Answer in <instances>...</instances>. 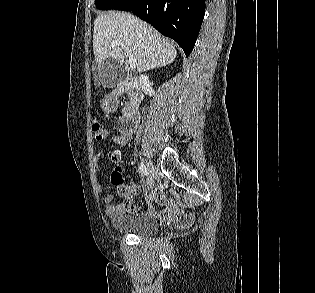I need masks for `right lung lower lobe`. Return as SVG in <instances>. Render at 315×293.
<instances>
[{
    "instance_id": "right-lung-lower-lobe-1",
    "label": "right lung lower lobe",
    "mask_w": 315,
    "mask_h": 293,
    "mask_svg": "<svg viewBox=\"0 0 315 293\" xmlns=\"http://www.w3.org/2000/svg\"><path fill=\"white\" fill-rule=\"evenodd\" d=\"M114 9L132 11L191 53L201 28L205 0H123Z\"/></svg>"
}]
</instances>
